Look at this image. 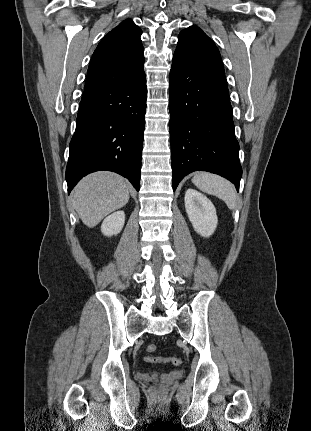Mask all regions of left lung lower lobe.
Wrapping results in <instances>:
<instances>
[{
	"instance_id": "1",
	"label": "left lung lower lobe",
	"mask_w": 311,
	"mask_h": 431,
	"mask_svg": "<svg viewBox=\"0 0 311 431\" xmlns=\"http://www.w3.org/2000/svg\"><path fill=\"white\" fill-rule=\"evenodd\" d=\"M169 108L173 190L202 170L225 177L238 191L242 168L224 68L175 51Z\"/></svg>"
}]
</instances>
